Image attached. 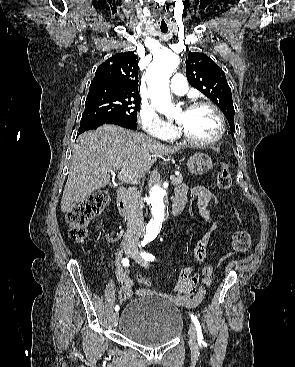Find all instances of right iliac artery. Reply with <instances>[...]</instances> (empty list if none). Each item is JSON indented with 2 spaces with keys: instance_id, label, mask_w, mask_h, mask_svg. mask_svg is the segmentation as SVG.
<instances>
[{
  "instance_id": "obj_1",
  "label": "right iliac artery",
  "mask_w": 295,
  "mask_h": 367,
  "mask_svg": "<svg viewBox=\"0 0 295 367\" xmlns=\"http://www.w3.org/2000/svg\"><path fill=\"white\" fill-rule=\"evenodd\" d=\"M116 263L117 264H122L124 267H128L129 266V260L127 258H123L122 259V256L119 255L117 258H116ZM119 310V306L116 305L115 306V311H118Z\"/></svg>"
}]
</instances>
